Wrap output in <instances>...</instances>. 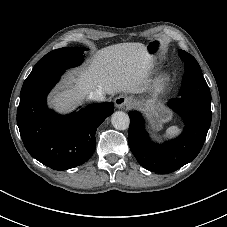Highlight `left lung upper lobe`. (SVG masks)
Masks as SVG:
<instances>
[{
	"instance_id": "obj_1",
	"label": "left lung upper lobe",
	"mask_w": 227,
	"mask_h": 227,
	"mask_svg": "<svg viewBox=\"0 0 227 227\" xmlns=\"http://www.w3.org/2000/svg\"><path fill=\"white\" fill-rule=\"evenodd\" d=\"M179 55L185 62V74L182 87L179 91L180 98H196L211 102L209 87L202 75L201 68L195 58L183 50Z\"/></svg>"
}]
</instances>
